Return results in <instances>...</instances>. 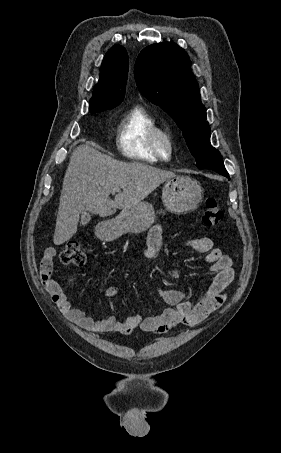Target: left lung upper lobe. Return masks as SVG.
I'll return each instance as SVG.
<instances>
[{
  "label": "left lung upper lobe",
  "instance_id": "1",
  "mask_svg": "<svg viewBox=\"0 0 281 453\" xmlns=\"http://www.w3.org/2000/svg\"><path fill=\"white\" fill-rule=\"evenodd\" d=\"M135 80L142 95L166 111L183 131L198 168L226 170L219 151L210 144L206 108L181 47L163 42L143 49L136 60Z\"/></svg>",
  "mask_w": 281,
  "mask_h": 453
}]
</instances>
